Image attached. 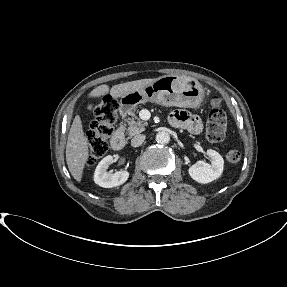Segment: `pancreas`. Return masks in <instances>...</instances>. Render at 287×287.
Wrapping results in <instances>:
<instances>
[{"instance_id":"pancreas-1","label":"pancreas","mask_w":287,"mask_h":287,"mask_svg":"<svg viewBox=\"0 0 287 287\" xmlns=\"http://www.w3.org/2000/svg\"><path fill=\"white\" fill-rule=\"evenodd\" d=\"M131 116V118L128 117L125 119V122L122 125V128L127 131L128 138L143 132L148 125L147 122H144L138 116H135L133 112L131 113Z\"/></svg>"}]
</instances>
